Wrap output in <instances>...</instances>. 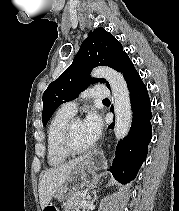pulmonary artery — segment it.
<instances>
[{
	"mask_svg": "<svg viewBox=\"0 0 179 211\" xmlns=\"http://www.w3.org/2000/svg\"><path fill=\"white\" fill-rule=\"evenodd\" d=\"M85 96L95 99H107L110 96L108 88L104 85H95L85 92ZM78 103L76 101H69L63 104L62 110L74 115L77 112Z\"/></svg>",
	"mask_w": 179,
	"mask_h": 211,
	"instance_id": "1",
	"label": "pulmonary artery"
}]
</instances>
